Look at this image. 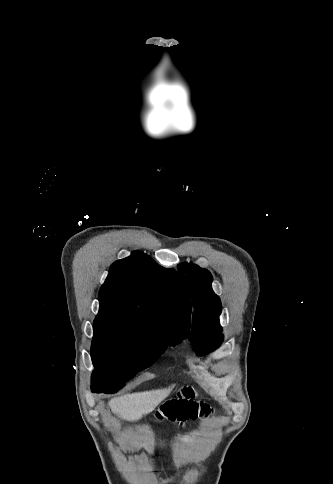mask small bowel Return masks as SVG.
<instances>
[{"label":"small bowel","instance_id":"c3829d8e","mask_svg":"<svg viewBox=\"0 0 333 484\" xmlns=\"http://www.w3.org/2000/svg\"><path fill=\"white\" fill-rule=\"evenodd\" d=\"M213 414V409L198 400V393L192 386L180 388L176 394L166 399L154 414L158 423L170 422L184 425L190 420L205 418Z\"/></svg>","mask_w":333,"mask_h":484}]
</instances>
